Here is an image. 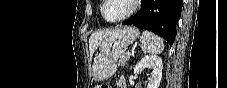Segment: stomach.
I'll return each mask as SVG.
<instances>
[{"label": "stomach", "instance_id": "stomach-1", "mask_svg": "<svg viewBox=\"0 0 227 88\" xmlns=\"http://www.w3.org/2000/svg\"><path fill=\"white\" fill-rule=\"evenodd\" d=\"M139 36L132 26L116 27L101 43L100 55L94 60L92 70L97 80L109 78L115 71V60L123 56L126 48Z\"/></svg>", "mask_w": 227, "mask_h": 88}]
</instances>
